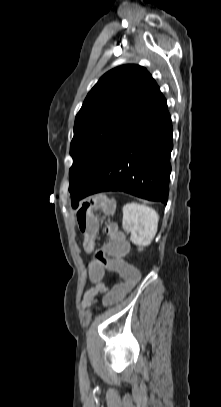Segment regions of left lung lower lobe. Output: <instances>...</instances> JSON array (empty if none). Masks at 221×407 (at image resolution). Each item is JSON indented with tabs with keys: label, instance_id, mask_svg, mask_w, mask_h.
<instances>
[{
	"label": "left lung lower lobe",
	"instance_id": "obj_1",
	"mask_svg": "<svg viewBox=\"0 0 221 407\" xmlns=\"http://www.w3.org/2000/svg\"><path fill=\"white\" fill-rule=\"evenodd\" d=\"M172 132L167 102L157 87L93 180L73 198V208L78 207L79 200L105 191H124L167 204Z\"/></svg>",
	"mask_w": 221,
	"mask_h": 407
}]
</instances>
